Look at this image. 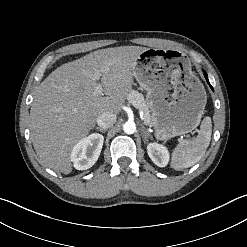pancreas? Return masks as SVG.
I'll use <instances>...</instances> for the list:
<instances>
[{
    "instance_id": "1",
    "label": "pancreas",
    "mask_w": 247,
    "mask_h": 247,
    "mask_svg": "<svg viewBox=\"0 0 247 247\" xmlns=\"http://www.w3.org/2000/svg\"><path fill=\"white\" fill-rule=\"evenodd\" d=\"M127 99L130 104H132L134 107L138 108L143 112L144 123L147 125L152 124L150 111L144 100L143 95L137 91H132L128 94Z\"/></svg>"
}]
</instances>
